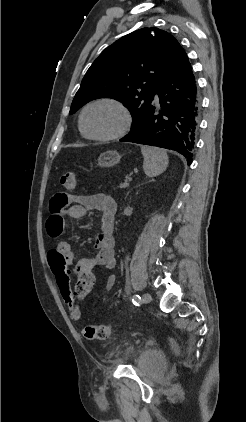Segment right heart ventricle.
Here are the masks:
<instances>
[{
    "mask_svg": "<svg viewBox=\"0 0 246 422\" xmlns=\"http://www.w3.org/2000/svg\"><path fill=\"white\" fill-rule=\"evenodd\" d=\"M80 132H81V130H80ZM81 134H82V136H84L82 132H81Z\"/></svg>",
    "mask_w": 246,
    "mask_h": 422,
    "instance_id": "obj_1",
    "label": "right heart ventricle"
}]
</instances>
